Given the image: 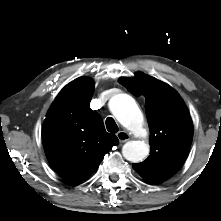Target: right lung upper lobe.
<instances>
[{
	"label": "right lung upper lobe",
	"mask_w": 221,
	"mask_h": 221,
	"mask_svg": "<svg viewBox=\"0 0 221 221\" xmlns=\"http://www.w3.org/2000/svg\"><path fill=\"white\" fill-rule=\"evenodd\" d=\"M93 91L94 83L87 77L70 82L56 97L43 124L47 159L70 182L85 180L119 142L106 132L101 116L90 109Z\"/></svg>",
	"instance_id": "1"
}]
</instances>
